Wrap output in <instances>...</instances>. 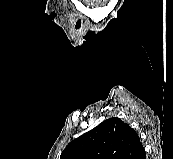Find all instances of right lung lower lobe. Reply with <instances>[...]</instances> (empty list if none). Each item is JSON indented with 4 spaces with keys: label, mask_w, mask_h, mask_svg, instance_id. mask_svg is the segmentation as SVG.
Instances as JSON below:
<instances>
[{
    "label": "right lung lower lobe",
    "mask_w": 173,
    "mask_h": 159,
    "mask_svg": "<svg viewBox=\"0 0 173 159\" xmlns=\"http://www.w3.org/2000/svg\"><path fill=\"white\" fill-rule=\"evenodd\" d=\"M141 159H146V154H144V155L141 157Z\"/></svg>",
    "instance_id": "obj_1"
}]
</instances>
